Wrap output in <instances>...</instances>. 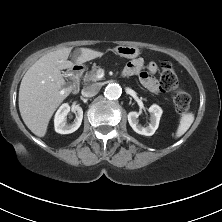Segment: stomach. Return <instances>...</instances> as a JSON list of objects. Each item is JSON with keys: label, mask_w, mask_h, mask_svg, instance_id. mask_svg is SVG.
I'll return each mask as SVG.
<instances>
[{"label": "stomach", "mask_w": 222, "mask_h": 222, "mask_svg": "<svg viewBox=\"0 0 222 222\" xmlns=\"http://www.w3.org/2000/svg\"><path fill=\"white\" fill-rule=\"evenodd\" d=\"M115 51L121 57L128 59L136 58L139 55V49L135 46L120 45L116 47Z\"/></svg>", "instance_id": "1"}]
</instances>
